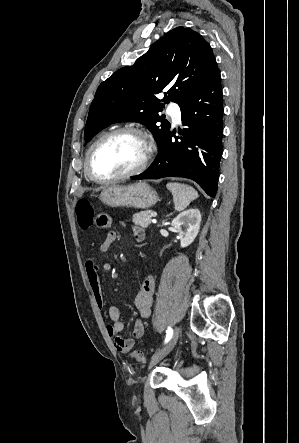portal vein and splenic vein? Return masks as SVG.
I'll list each match as a JSON object with an SVG mask.
<instances>
[{
  "instance_id": "obj_1",
  "label": "portal vein and splenic vein",
  "mask_w": 299,
  "mask_h": 443,
  "mask_svg": "<svg viewBox=\"0 0 299 443\" xmlns=\"http://www.w3.org/2000/svg\"><path fill=\"white\" fill-rule=\"evenodd\" d=\"M150 216H151V217H156V216H157V213H156V212H152V213L150 214Z\"/></svg>"
}]
</instances>
